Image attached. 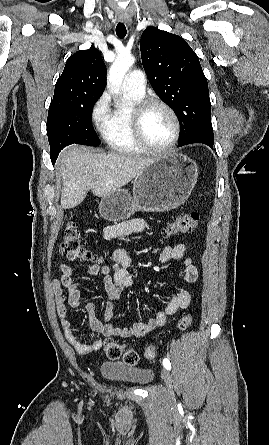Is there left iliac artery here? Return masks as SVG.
<instances>
[{
	"label": "left iliac artery",
	"instance_id": "left-iliac-artery-1",
	"mask_svg": "<svg viewBox=\"0 0 269 445\" xmlns=\"http://www.w3.org/2000/svg\"><path fill=\"white\" fill-rule=\"evenodd\" d=\"M163 365H164V367H165L167 370H170V369H171V363H170V361H169L167 358H164V359H163Z\"/></svg>",
	"mask_w": 269,
	"mask_h": 445
}]
</instances>
